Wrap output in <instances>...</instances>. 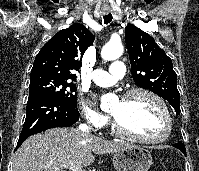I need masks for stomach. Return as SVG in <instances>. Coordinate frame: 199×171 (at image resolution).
Returning a JSON list of instances; mask_svg holds the SVG:
<instances>
[{"mask_svg": "<svg viewBox=\"0 0 199 171\" xmlns=\"http://www.w3.org/2000/svg\"><path fill=\"white\" fill-rule=\"evenodd\" d=\"M151 164L150 151L140 146L131 145L113 156V165L117 171H148Z\"/></svg>", "mask_w": 199, "mask_h": 171, "instance_id": "1", "label": "stomach"}]
</instances>
